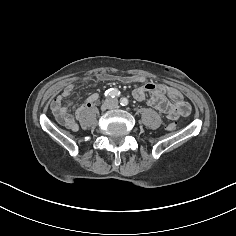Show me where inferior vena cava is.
Here are the masks:
<instances>
[{
    "label": "inferior vena cava",
    "instance_id": "inferior-vena-cava-1",
    "mask_svg": "<svg viewBox=\"0 0 236 236\" xmlns=\"http://www.w3.org/2000/svg\"><path fill=\"white\" fill-rule=\"evenodd\" d=\"M106 109H114L118 106V100L116 98H108L103 103Z\"/></svg>",
    "mask_w": 236,
    "mask_h": 236
}]
</instances>
